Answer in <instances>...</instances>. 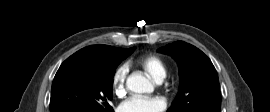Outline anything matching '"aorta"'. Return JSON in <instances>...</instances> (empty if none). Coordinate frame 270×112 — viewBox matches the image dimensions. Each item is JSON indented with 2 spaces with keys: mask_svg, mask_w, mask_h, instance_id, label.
<instances>
[{
  "mask_svg": "<svg viewBox=\"0 0 270 112\" xmlns=\"http://www.w3.org/2000/svg\"><path fill=\"white\" fill-rule=\"evenodd\" d=\"M126 86L134 93H150L154 90L152 83L140 74H131L127 78Z\"/></svg>",
  "mask_w": 270,
  "mask_h": 112,
  "instance_id": "762f6f07",
  "label": "aorta"
}]
</instances>
